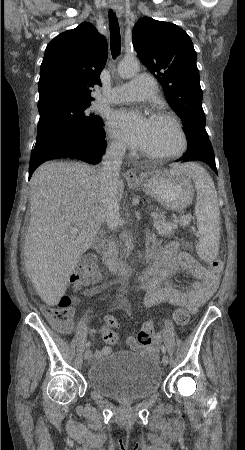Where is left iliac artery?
Here are the masks:
<instances>
[{
    "mask_svg": "<svg viewBox=\"0 0 245 450\" xmlns=\"http://www.w3.org/2000/svg\"><path fill=\"white\" fill-rule=\"evenodd\" d=\"M161 350H162V352L165 354L166 353V348H165V346H162L161 347Z\"/></svg>",
    "mask_w": 245,
    "mask_h": 450,
    "instance_id": "obj_1",
    "label": "left iliac artery"
}]
</instances>
